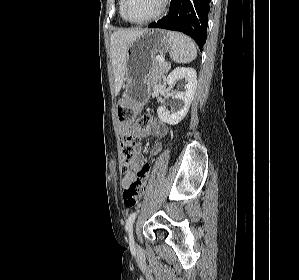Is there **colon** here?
<instances>
[{
    "instance_id": "5ec220e1",
    "label": "colon",
    "mask_w": 299,
    "mask_h": 280,
    "mask_svg": "<svg viewBox=\"0 0 299 280\" xmlns=\"http://www.w3.org/2000/svg\"><path fill=\"white\" fill-rule=\"evenodd\" d=\"M150 121L151 117L149 115L140 117L136 121V124L132 125L131 136L124 138L121 150L124 166L129 165L133 158L135 144L137 142L134 136H140V133H146V127L150 124ZM149 171V164L142 165L138 170V178L124 189L123 201L127 208H132L141 201L145 192L144 180L149 174Z\"/></svg>"
}]
</instances>
